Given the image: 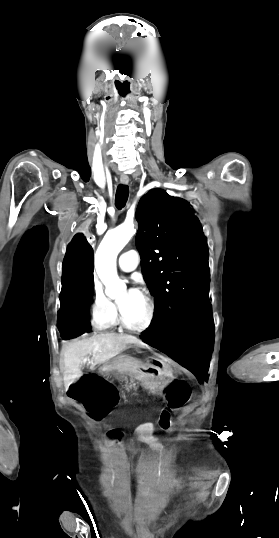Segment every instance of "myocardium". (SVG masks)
<instances>
[{"label": "myocardium", "mask_w": 279, "mask_h": 538, "mask_svg": "<svg viewBox=\"0 0 279 538\" xmlns=\"http://www.w3.org/2000/svg\"><path fill=\"white\" fill-rule=\"evenodd\" d=\"M96 227L97 228L103 227V223L99 222L96 225ZM131 235H133V234H131ZM135 293L139 294L145 300L146 305H147V317H146L144 323L142 325L138 326V327L130 325L128 323L125 315H124L121 303L117 300L118 322L128 332L134 333V334H141V333L146 332L152 326V324L154 322V319H155V304L153 302V299L151 298V296L147 292H145V291H135Z\"/></svg>", "instance_id": "obj_1"}]
</instances>
